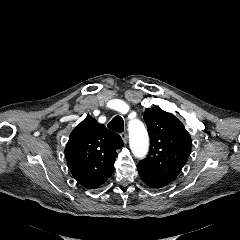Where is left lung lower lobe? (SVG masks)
Wrapping results in <instances>:
<instances>
[{"mask_svg":"<svg viewBox=\"0 0 240 240\" xmlns=\"http://www.w3.org/2000/svg\"><path fill=\"white\" fill-rule=\"evenodd\" d=\"M138 173L143 182L147 186L154 189L163 188L172 182V180L168 179L167 177L156 173L146 165L140 163L138 164Z\"/></svg>","mask_w":240,"mask_h":240,"instance_id":"0a47b994","label":"left lung lower lobe"}]
</instances>
